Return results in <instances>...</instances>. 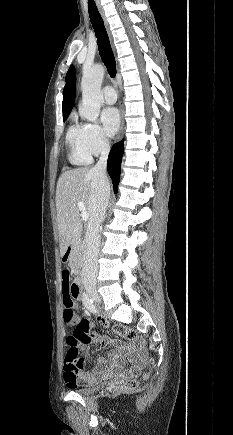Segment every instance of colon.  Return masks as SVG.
Instances as JSON below:
<instances>
[{"instance_id": "1", "label": "colon", "mask_w": 233, "mask_h": 435, "mask_svg": "<svg viewBox=\"0 0 233 435\" xmlns=\"http://www.w3.org/2000/svg\"><path fill=\"white\" fill-rule=\"evenodd\" d=\"M71 274L69 270L65 269L62 272L61 279L62 281L67 284L70 281ZM74 296L65 294L63 298V303L65 305V311H64V322L66 326L68 327H76L78 324V314L75 309V301ZM113 332L115 335H118L122 337L123 339L127 341H132L137 337V333L135 330L125 327L123 325H115L113 327ZM68 350L66 354V360L68 362L81 364L83 362L82 358L80 357L79 350H78V340L77 338L68 337L67 340ZM137 386V382L135 380H128L124 383H113L110 384L106 391L109 394H117V393H124L127 392Z\"/></svg>"}]
</instances>
